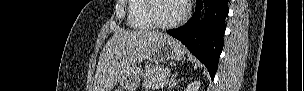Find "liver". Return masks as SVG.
Here are the masks:
<instances>
[{
	"instance_id": "1",
	"label": "liver",
	"mask_w": 304,
	"mask_h": 91,
	"mask_svg": "<svg viewBox=\"0 0 304 91\" xmlns=\"http://www.w3.org/2000/svg\"><path fill=\"white\" fill-rule=\"evenodd\" d=\"M167 34L150 31H118L104 46L97 66L93 91H111L131 66L148 59Z\"/></svg>"
}]
</instances>
